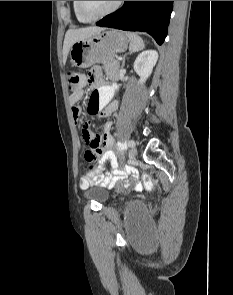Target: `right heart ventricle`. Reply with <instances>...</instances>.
Listing matches in <instances>:
<instances>
[{
	"mask_svg": "<svg viewBox=\"0 0 233 295\" xmlns=\"http://www.w3.org/2000/svg\"><path fill=\"white\" fill-rule=\"evenodd\" d=\"M72 8H73V11H74V14H75V17L77 18V20L79 22H82V23H86V22H89L90 20L88 19H85L84 17H82L78 11H77V6H76V1H73L72 2Z\"/></svg>",
	"mask_w": 233,
	"mask_h": 295,
	"instance_id": "e07e8e85",
	"label": "right heart ventricle"
}]
</instances>
